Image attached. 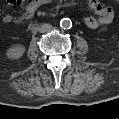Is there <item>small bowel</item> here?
<instances>
[{
	"mask_svg": "<svg viewBox=\"0 0 119 119\" xmlns=\"http://www.w3.org/2000/svg\"><path fill=\"white\" fill-rule=\"evenodd\" d=\"M22 0H7V4L10 6L21 5ZM48 3L47 0H32L25 6V11L22 15L14 17L12 15H3V21L6 24H24L28 22L38 8ZM88 6L96 13V17L84 18V24L93 30H104L108 25L113 22L114 10L111 7L103 5L98 0H90ZM97 6H100L97 9Z\"/></svg>",
	"mask_w": 119,
	"mask_h": 119,
	"instance_id": "obj_1",
	"label": "small bowel"
}]
</instances>
